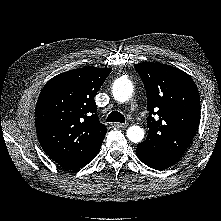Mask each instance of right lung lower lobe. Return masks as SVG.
<instances>
[{
	"mask_svg": "<svg viewBox=\"0 0 221 221\" xmlns=\"http://www.w3.org/2000/svg\"><path fill=\"white\" fill-rule=\"evenodd\" d=\"M96 155V154H95ZM91 157L90 159L83 161L81 163H77V164H60L62 167L66 168V169H70V170H74V169H79L85 165H87L94 157Z\"/></svg>",
	"mask_w": 221,
	"mask_h": 221,
	"instance_id": "1",
	"label": "right lung lower lobe"
}]
</instances>
